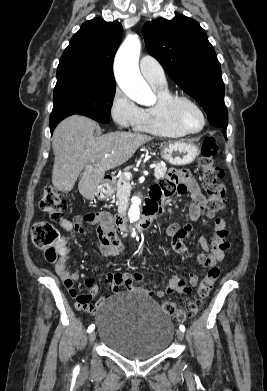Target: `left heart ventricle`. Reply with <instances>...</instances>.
I'll return each instance as SVG.
<instances>
[{
  "instance_id": "obj_1",
  "label": "left heart ventricle",
  "mask_w": 267,
  "mask_h": 391,
  "mask_svg": "<svg viewBox=\"0 0 267 391\" xmlns=\"http://www.w3.org/2000/svg\"><path fill=\"white\" fill-rule=\"evenodd\" d=\"M177 114L181 122L192 131L199 130L202 126V117L199 112L187 103H181L177 107Z\"/></svg>"
}]
</instances>
